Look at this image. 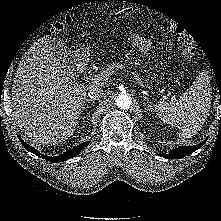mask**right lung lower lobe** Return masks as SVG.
I'll list each match as a JSON object with an SVG mask.
<instances>
[{
  "label": "right lung lower lobe",
  "instance_id": "98d812e1",
  "mask_svg": "<svg viewBox=\"0 0 221 221\" xmlns=\"http://www.w3.org/2000/svg\"><path fill=\"white\" fill-rule=\"evenodd\" d=\"M19 140L21 141L22 145L30 152L34 153L35 155L41 157V158H44L46 159L47 161H51L53 163H58V162H61V161H64V160H67L69 158H72L76 155H78L80 153V151L85 147L87 146L90 142H84L76 147H74L73 149L71 150H68L66 151L65 153L59 155V156H56V157H49V156H46V155H43L41 153H39L37 150H35L34 148H32L30 145H28L27 143H25L20 137H19Z\"/></svg>",
  "mask_w": 221,
  "mask_h": 221
}]
</instances>
